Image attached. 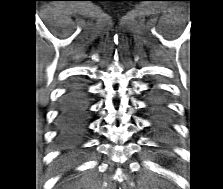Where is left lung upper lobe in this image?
<instances>
[{"label": "left lung upper lobe", "instance_id": "1", "mask_svg": "<svg viewBox=\"0 0 223 189\" xmlns=\"http://www.w3.org/2000/svg\"><path fill=\"white\" fill-rule=\"evenodd\" d=\"M157 128H159V129H164V128H162V127H159V126H157Z\"/></svg>", "mask_w": 223, "mask_h": 189}]
</instances>
